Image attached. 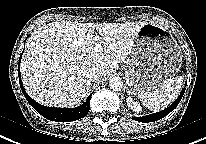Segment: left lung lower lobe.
Instances as JSON below:
<instances>
[{"label":"left lung lower lobe","instance_id":"0a47b994","mask_svg":"<svg viewBox=\"0 0 206 144\" xmlns=\"http://www.w3.org/2000/svg\"><path fill=\"white\" fill-rule=\"evenodd\" d=\"M184 92H185V88H183L182 92L180 93L179 97L175 100V102H173V104L171 106H169L168 108L164 109L163 111L157 112V113H154V114H151V115H148V116H144V117H133V119L137 120L139 122H153V121H157V120L165 117L173 109L176 108V106L179 104V102H180Z\"/></svg>","mask_w":206,"mask_h":144}]
</instances>
